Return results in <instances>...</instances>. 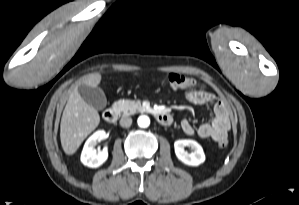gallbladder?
Masks as SVG:
<instances>
[{"instance_id":"gallbladder-1","label":"gallbladder","mask_w":299,"mask_h":205,"mask_svg":"<svg viewBox=\"0 0 299 205\" xmlns=\"http://www.w3.org/2000/svg\"><path fill=\"white\" fill-rule=\"evenodd\" d=\"M78 92L87 104L97 110H102L107 105L106 96L103 90L98 87H90L82 83L78 86Z\"/></svg>"}]
</instances>
